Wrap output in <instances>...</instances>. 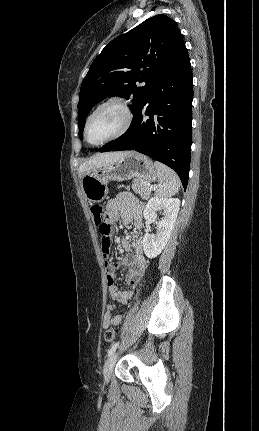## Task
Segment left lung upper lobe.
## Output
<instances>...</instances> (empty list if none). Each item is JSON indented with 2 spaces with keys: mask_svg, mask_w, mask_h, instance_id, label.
Here are the masks:
<instances>
[{
  "mask_svg": "<svg viewBox=\"0 0 259 431\" xmlns=\"http://www.w3.org/2000/svg\"><path fill=\"white\" fill-rule=\"evenodd\" d=\"M184 42L176 22L156 15L109 42L91 64L78 103L79 136L90 110L106 96L132 98V113L148 95L158 74ZM146 85L137 87L136 83Z\"/></svg>",
  "mask_w": 259,
  "mask_h": 431,
  "instance_id": "obj_1",
  "label": "left lung upper lobe"
}]
</instances>
